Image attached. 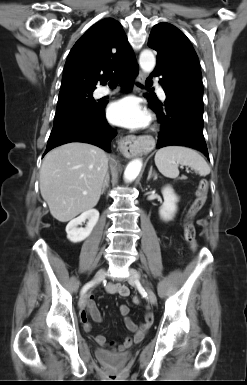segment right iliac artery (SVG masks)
<instances>
[{"label": "right iliac artery", "mask_w": 247, "mask_h": 385, "mask_svg": "<svg viewBox=\"0 0 247 385\" xmlns=\"http://www.w3.org/2000/svg\"><path fill=\"white\" fill-rule=\"evenodd\" d=\"M92 286V283H87L83 288H82V293H84L87 289H89Z\"/></svg>", "instance_id": "right-iliac-artery-1"}]
</instances>
